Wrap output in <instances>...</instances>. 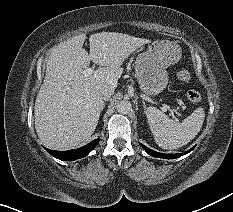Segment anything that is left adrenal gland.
Returning <instances> with one entry per match:
<instances>
[{
  "mask_svg": "<svg viewBox=\"0 0 233 212\" xmlns=\"http://www.w3.org/2000/svg\"><path fill=\"white\" fill-rule=\"evenodd\" d=\"M142 103H143V107H144V109L146 110V104H145V102H144V101H142Z\"/></svg>",
  "mask_w": 233,
  "mask_h": 212,
  "instance_id": "a2214340",
  "label": "left adrenal gland"
}]
</instances>
